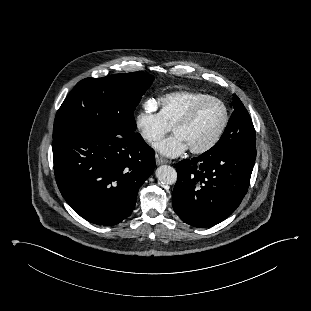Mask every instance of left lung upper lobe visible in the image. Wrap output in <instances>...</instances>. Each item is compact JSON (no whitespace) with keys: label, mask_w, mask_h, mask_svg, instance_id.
I'll list each match as a JSON object with an SVG mask.
<instances>
[{"label":"left lung upper lobe","mask_w":311,"mask_h":311,"mask_svg":"<svg viewBox=\"0 0 311 311\" xmlns=\"http://www.w3.org/2000/svg\"><path fill=\"white\" fill-rule=\"evenodd\" d=\"M234 111L220 140L208 152L223 151L240 145L256 146L255 129L240 99L233 97Z\"/></svg>","instance_id":"obj_1"}]
</instances>
